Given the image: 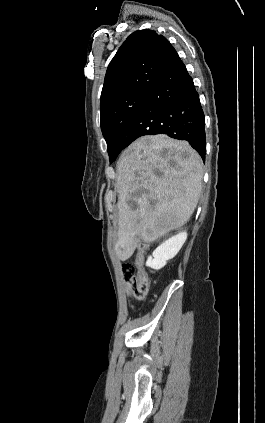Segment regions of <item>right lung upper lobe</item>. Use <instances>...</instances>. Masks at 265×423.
Segmentation results:
<instances>
[{"mask_svg":"<svg viewBox=\"0 0 265 423\" xmlns=\"http://www.w3.org/2000/svg\"><path fill=\"white\" fill-rule=\"evenodd\" d=\"M176 56L170 42L157 32H133L108 66L101 93V112L132 92L151 90Z\"/></svg>","mask_w":265,"mask_h":423,"instance_id":"1","label":"right lung upper lobe"}]
</instances>
